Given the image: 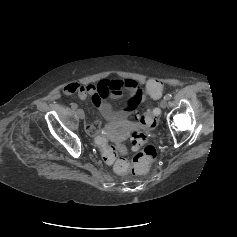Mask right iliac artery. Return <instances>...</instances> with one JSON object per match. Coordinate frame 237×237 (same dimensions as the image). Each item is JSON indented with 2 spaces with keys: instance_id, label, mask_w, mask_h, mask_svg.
<instances>
[{
  "instance_id": "obj_1",
  "label": "right iliac artery",
  "mask_w": 237,
  "mask_h": 237,
  "mask_svg": "<svg viewBox=\"0 0 237 237\" xmlns=\"http://www.w3.org/2000/svg\"><path fill=\"white\" fill-rule=\"evenodd\" d=\"M77 107H78L77 104H75V103H72V104H71V108H72L73 110H76Z\"/></svg>"
}]
</instances>
